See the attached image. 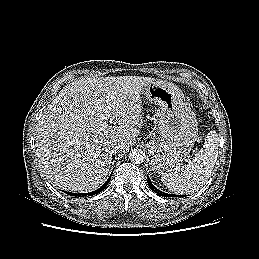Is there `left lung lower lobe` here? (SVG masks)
<instances>
[{
  "instance_id": "obj_1",
  "label": "left lung lower lobe",
  "mask_w": 259,
  "mask_h": 259,
  "mask_svg": "<svg viewBox=\"0 0 259 259\" xmlns=\"http://www.w3.org/2000/svg\"><path fill=\"white\" fill-rule=\"evenodd\" d=\"M148 185L149 187L151 188L152 191H154L157 195H160V196H167V197H176V195H172V194H167V193H163L161 192L160 190H158L150 181L149 177H148ZM183 197V196H182Z\"/></svg>"
}]
</instances>
